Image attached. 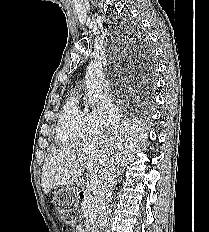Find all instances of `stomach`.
Masks as SVG:
<instances>
[{"label": "stomach", "instance_id": "0dacf381", "mask_svg": "<svg viewBox=\"0 0 209 232\" xmlns=\"http://www.w3.org/2000/svg\"><path fill=\"white\" fill-rule=\"evenodd\" d=\"M78 186H65L57 191L53 203H57L56 211L60 214H74V206H79L81 192Z\"/></svg>", "mask_w": 209, "mask_h": 232}]
</instances>
